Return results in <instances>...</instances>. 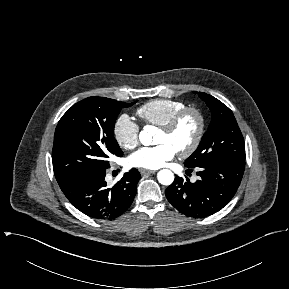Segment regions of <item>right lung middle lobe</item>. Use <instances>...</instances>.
<instances>
[{"instance_id": "dd1d6c3e", "label": "right lung middle lobe", "mask_w": 289, "mask_h": 289, "mask_svg": "<svg viewBox=\"0 0 289 289\" xmlns=\"http://www.w3.org/2000/svg\"><path fill=\"white\" fill-rule=\"evenodd\" d=\"M133 104L89 97L67 110L56 127L52 150L60 188L78 177L109 168L110 156L123 155L113 135L114 126L121 109Z\"/></svg>"}]
</instances>
